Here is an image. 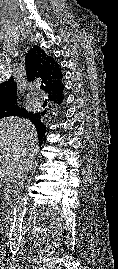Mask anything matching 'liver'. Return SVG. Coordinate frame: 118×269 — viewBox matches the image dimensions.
I'll return each instance as SVG.
<instances>
[{
    "label": "liver",
    "mask_w": 118,
    "mask_h": 269,
    "mask_svg": "<svg viewBox=\"0 0 118 269\" xmlns=\"http://www.w3.org/2000/svg\"><path fill=\"white\" fill-rule=\"evenodd\" d=\"M38 152L37 131L29 120L19 117L0 120V172H4V177L17 175L23 158L34 157Z\"/></svg>",
    "instance_id": "6515ba94"
}]
</instances>
